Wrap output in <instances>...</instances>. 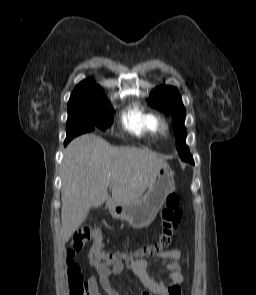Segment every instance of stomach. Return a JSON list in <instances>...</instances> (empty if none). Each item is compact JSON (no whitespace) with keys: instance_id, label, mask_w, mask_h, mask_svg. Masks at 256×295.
Segmentation results:
<instances>
[{"instance_id":"1","label":"stomach","mask_w":256,"mask_h":295,"mask_svg":"<svg viewBox=\"0 0 256 295\" xmlns=\"http://www.w3.org/2000/svg\"><path fill=\"white\" fill-rule=\"evenodd\" d=\"M175 190L174 173L169 165L161 167L148 191L127 204L113 203L109 207L113 218L126 221L131 227H148L155 219L166 198Z\"/></svg>"}]
</instances>
